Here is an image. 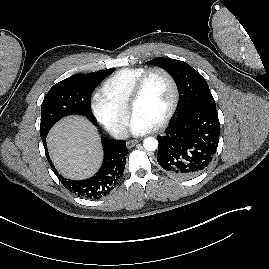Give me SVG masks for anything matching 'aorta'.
<instances>
[{
    "instance_id": "obj_1",
    "label": "aorta",
    "mask_w": 269,
    "mask_h": 269,
    "mask_svg": "<svg viewBox=\"0 0 269 269\" xmlns=\"http://www.w3.org/2000/svg\"><path fill=\"white\" fill-rule=\"evenodd\" d=\"M143 146L147 151H155L158 148V141L154 137H147L143 141Z\"/></svg>"
}]
</instances>
